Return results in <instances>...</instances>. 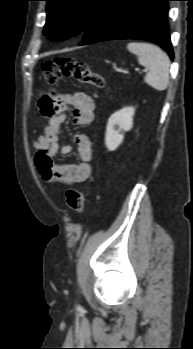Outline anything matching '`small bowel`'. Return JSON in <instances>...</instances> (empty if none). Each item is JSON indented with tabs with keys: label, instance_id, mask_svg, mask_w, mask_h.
<instances>
[{
	"label": "small bowel",
	"instance_id": "obj_1",
	"mask_svg": "<svg viewBox=\"0 0 193 349\" xmlns=\"http://www.w3.org/2000/svg\"><path fill=\"white\" fill-rule=\"evenodd\" d=\"M94 100L82 91H73L62 95L55 104L52 113L42 115L47 124L40 136L33 140L36 149L35 164L45 181L59 182L74 185L86 181L92 175V146L89 137L85 134H76L74 142L79 162L74 164L56 160V156H66L71 153L69 144L60 142L61 126L66 121L67 111L72 112L73 123L79 126L90 124L94 118Z\"/></svg>",
	"mask_w": 193,
	"mask_h": 349
}]
</instances>
